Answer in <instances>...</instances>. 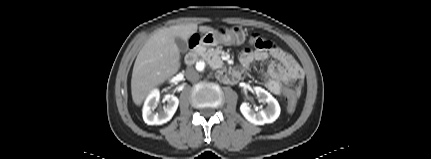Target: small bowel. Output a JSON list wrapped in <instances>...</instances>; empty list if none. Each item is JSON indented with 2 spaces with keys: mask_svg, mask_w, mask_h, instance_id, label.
<instances>
[{
  "mask_svg": "<svg viewBox=\"0 0 431 159\" xmlns=\"http://www.w3.org/2000/svg\"><path fill=\"white\" fill-rule=\"evenodd\" d=\"M254 49H245L240 54V64L243 69H249L255 61H265L269 57L273 61L269 64L265 77V86L272 93L279 95L283 86L302 78V71L296 60L286 51L276 46L271 41L256 37ZM297 94V91L295 92ZM303 102L301 95L293 96V103L300 105Z\"/></svg>",
  "mask_w": 431,
  "mask_h": 159,
  "instance_id": "1",
  "label": "small bowel"
}]
</instances>
